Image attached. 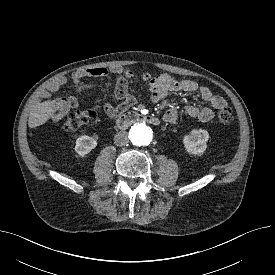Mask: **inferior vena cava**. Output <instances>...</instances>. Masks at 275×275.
I'll use <instances>...</instances> for the list:
<instances>
[{
  "label": "inferior vena cava",
  "instance_id": "inferior-vena-cava-1",
  "mask_svg": "<svg viewBox=\"0 0 275 275\" xmlns=\"http://www.w3.org/2000/svg\"><path fill=\"white\" fill-rule=\"evenodd\" d=\"M129 142L128 134L126 132H118L114 137L116 146H125Z\"/></svg>",
  "mask_w": 275,
  "mask_h": 275
}]
</instances>
